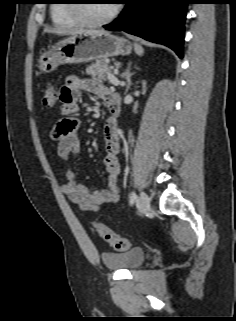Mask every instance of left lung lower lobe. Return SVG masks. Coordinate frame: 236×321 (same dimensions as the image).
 <instances>
[{"instance_id":"left-lung-lower-lobe-1","label":"left lung lower lobe","mask_w":236,"mask_h":321,"mask_svg":"<svg viewBox=\"0 0 236 321\" xmlns=\"http://www.w3.org/2000/svg\"><path fill=\"white\" fill-rule=\"evenodd\" d=\"M120 16L104 28L125 31L160 43L183 57L184 23L188 0H125Z\"/></svg>"}]
</instances>
